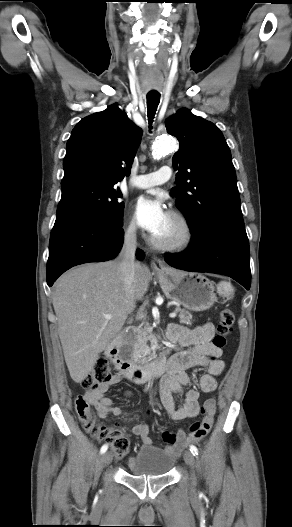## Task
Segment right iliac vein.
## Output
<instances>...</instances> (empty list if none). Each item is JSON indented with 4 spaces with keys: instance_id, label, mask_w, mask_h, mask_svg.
Instances as JSON below:
<instances>
[{
    "instance_id": "63e3f726",
    "label": "right iliac vein",
    "mask_w": 292,
    "mask_h": 527,
    "mask_svg": "<svg viewBox=\"0 0 292 527\" xmlns=\"http://www.w3.org/2000/svg\"><path fill=\"white\" fill-rule=\"evenodd\" d=\"M112 461V455L109 452L104 453L102 456V462L104 465L110 464Z\"/></svg>"
}]
</instances>
